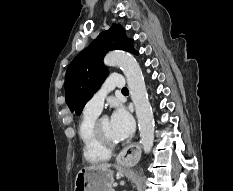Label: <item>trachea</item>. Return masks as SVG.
Wrapping results in <instances>:
<instances>
[{"instance_id": "3493384b", "label": "trachea", "mask_w": 233, "mask_h": 191, "mask_svg": "<svg viewBox=\"0 0 233 191\" xmlns=\"http://www.w3.org/2000/svg\"><path fill=\"white\" fill-rule=\"evenodd\" d=\"M122 92H128V89L125 87L122 89Z\"/></svg>"}]
</instances>
